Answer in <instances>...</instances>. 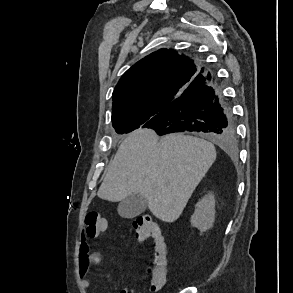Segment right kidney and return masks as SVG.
I'll return each instance as SVG.
<instances>
[{
	"mask_svg": "<svg viewBox=\"0 0 293 293\" xmlns=\"http://www.w3.org/2000/svg\"><path fill=\"white\" fill-rule=\"evenodd\" d=\"M214 219L215 198L209 193L196 204L195 212L191 216V225L202 233L213 227Z\"/></svg>",
	"mask_w": 293,
	"mask_h": 293,
	"instance_id": "right-kidney-1",
	"label": "right kidney"
}]
</instances>
